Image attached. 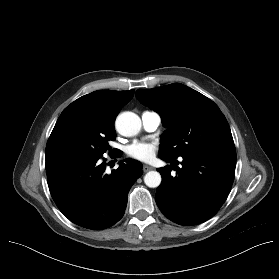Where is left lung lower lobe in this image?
<instances>
[{
  "label": "left lung lower lobe",
  "instance_id": "1",
  "mask_svg": "<svg viewBox=\"0 0 279 279\" xmlns=\"http://www.w3.org/2000/svg\"><path fill=\"white\" fill-rule=\"evenodd\" d=\"M166 162L173 159L161 158ZM177 175L167 165L157 169L162 182L155 200L160 211L180 225H196L214 216L227 199L234 180L236 152L198 151L182 156ZM173 163H177L175 160Z\"/></svg>",
  "mask_w": 279,
  "mask_h": 279
}]
</instances>
